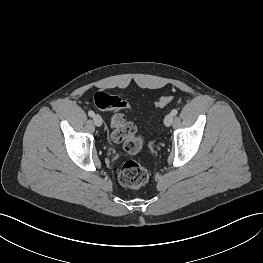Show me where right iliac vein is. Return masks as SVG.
<instances>
[{
  "mask_svg": "<svg viewBox=\"0 0 263 263\" xmlns=\"http://www.w3.org/2000/svg\"><path fill=\"white\" fill-rule=\"evenodd\" d=\"M93 122L96 126L100 127L102 125V117L98 114L93 116Z\"/></svg>",
  "mask_w": 263,
  "mask_h": 263,
  "instance_id": "right-iliac-vein-1",
  "label": "right iliac vein"
}]
</instances>
